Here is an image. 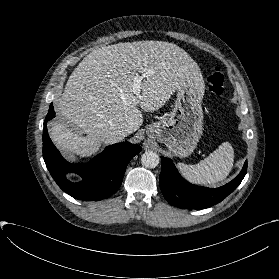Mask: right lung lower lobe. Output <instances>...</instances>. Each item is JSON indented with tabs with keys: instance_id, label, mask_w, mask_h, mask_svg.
Returning a JSON list of instances; mask_svg holds the SVG:
<instances>
[{
	"instance_id": "right-lung-lower-lobe-1",
	"label": "right lung lower lobe",
	"mask_w": 279,
	"mask_h": 279,
	"mask_svg": "<svg viewBox=\"0 0 279 279\" xmlns=\"http://www.w3.org/2000/svg\"><path fill=\"white\" fill-rule=\"evenodd\" d=\"M54 116L51 104L44 120L43 158L57 185L78 200L96 201L110 197L119 189L129 161L141 151V147L129 142L117 143L106 147L87 165L70 164L49 138L46 126ZM68 172L78 174L82 181H68L65 177Z\"/></svg>"
}]
</instances>
